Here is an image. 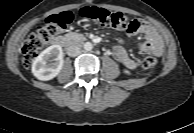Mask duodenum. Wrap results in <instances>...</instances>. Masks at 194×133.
Wrapping results in <instances>:
<instances>
[{"mask_svg":"<svg viewBox=\"0 0 194 133\" xmlns=\"http://www.w3.org/2000/svg\"><path fill=\"white\" fill-rule=\"evenodd\" d=\"M85 37H78V36H72V37H64V36H58L53 40V43L55 45L61 46V47H69L73 44L79 43V42H85Z\"/></svg>","mask_w":194,"mask_h":133,"instance_id":"1","label":"duodenum"}]
</instances>
